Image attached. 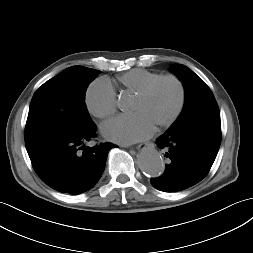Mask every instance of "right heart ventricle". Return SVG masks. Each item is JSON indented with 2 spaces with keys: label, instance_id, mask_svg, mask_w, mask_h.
Segmentation results:
<instances>
[{
  "label": "right heart ventricle",
  "instance_id": "obj_1",
  "mask_svg": "<svg viewBox=\"0 0 253 253\" xmlns=\"http://www.w3.org/2000/svg\"><path fill=\"white\" fill-rule=\"evenodd\" d=\"M161 76L146 69H133L117 77V82L124 91L137 93L147 83Z\"/></svg>",
  "mask_w": 253,
  "mask_h": 253
}]
</instances>
